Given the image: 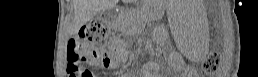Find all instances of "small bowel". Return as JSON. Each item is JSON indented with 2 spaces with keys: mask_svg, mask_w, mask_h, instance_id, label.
I'll return each mask as SVG.
<instances>
[{
  "mask_svg": "<svg viewBox=\"0 0 258 77\" xmlns=\"http://www.w3.org/2000/svg\"><path fill=\"white\" fill-rule=\"evenodd\" d=\"M114 54L112 52H95L88 53L86 61L90 65H94L101 69H110L113 65ZM85 77H91V73H86Z\"/></svg>",
  "mask_w": 258,
  "mask_h": 77,
  "instance_id": "1",
  "label": "small bowel"
}]
</instances>
